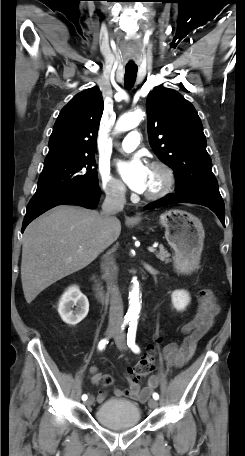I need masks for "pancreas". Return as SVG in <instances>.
Listing matches in <instances>:
<instances>
[{
  "label": "pancreas",
  "instance_id": "1",
  "mask_svg": "<svg viewBox=\"0 0 245 456\" xmlns=\"http://www.w3.org/2000/svg\"><path fill=\"white\" fill-rule=\"evenodd\" d=\"M156 257L158 259H160L161 261L165 262V263H169L171 260L169 259L170 257V254L168 253V251L164 248L163 245H160L159 246V251L156 252Z\"/></svg>",
  "mask_w": 245,
  "mask_h": 456
}]
</instances>
